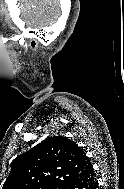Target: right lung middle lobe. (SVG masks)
I'll use <instances>...</instances> for the list:
<instances>
[{
  "label": "right lung middle lobe",
  "mask_w": 124,
  "mask_h": 189,
  "mask_svg": "<svg viewBox=\"0 0 124 189\" xmlns=\"http://www.w3.org/2000/svg\"><path fill=\"white\" fill-rule=\"evenodd\" d=\"M64 186L61 185H47V186H42L39 189H63Z\"/></svg>",
  "instance_id": "1"
}]
</instances>
